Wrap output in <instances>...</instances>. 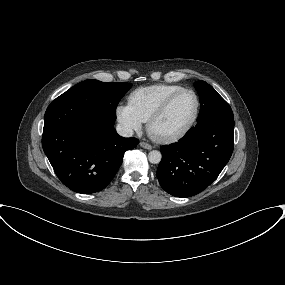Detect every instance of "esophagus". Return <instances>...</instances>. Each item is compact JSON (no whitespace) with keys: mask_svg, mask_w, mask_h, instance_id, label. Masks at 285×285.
I'll return each instance as SVG.
<instances>
[{"mask_svg":"<svg viewBox=\"0 0 285 285\" xmlns=\"http://www.w3.org/2000/svg\"><path fill=\"white\" fill-rule=\"evenodd\" d=\"M139 145L144 148V149H147V150H151L152 149V146L146 142H140Z\"/></svg>","mask_w":285,"mask_h":285,"instance_id":"esophagus-1","label":"esophagus"}]
</instances>
